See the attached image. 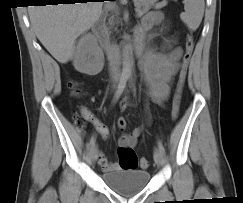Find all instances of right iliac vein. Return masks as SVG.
<instances>
[{
	"label": "right iliac vein",
	"mask_w": 243,
	"mask_h": 203,
	"mask_svg": "<svg viewBox=\"0 0 243 203\" xmlns=\"http://www.w3.org/2000/svg\"><path fill=\"white\" fill-rule=\"evenodd\" d=\"M98 158V149L96 146H93L90 151V159L92 163H95Z\"/></svg>",
	"instance_id": "1"
}]
</instances>
